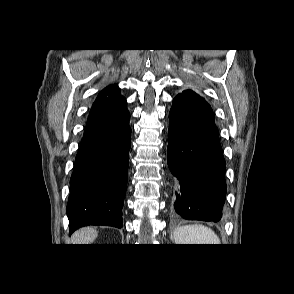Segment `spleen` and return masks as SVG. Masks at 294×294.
Returning a JSON list of instances; mask_svg holds the SVG:
<instances>
[{
    "instance_id": "spleen-1",
    "label": "spleen",
    "mask_w": 294,
    "mask_h": 294,
    "mask_svg": "<svg viewBox=\"0 0 294 294\" xmlns=\"http://www.w3.org/2000/svg\"><path fill=\"white\" fill-rule=\"evenodd\" d=\"M174 239L176 244H220V239L214 231L201 224L177 227Z\"/></svg>"
}]
</instances>
